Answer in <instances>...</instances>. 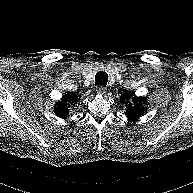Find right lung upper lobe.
Here are the masks:
<instances>
[{
    "label": "right lung upper lobe",
    "instance_id": "obj_1",
    "mask_svg": "<svg viewBox=\"0 0 193 193\" xmlns=\"http://www.w3.org/2000/svg\"><path fill=\"white\" fill-rule=\"evenodd\" d=\"M78 100V96L75 93H67L63 96L61 101L57 102L54 106V112L61 118H66L68 113L69 105H72Z\"/></svg>",
    "mask_w": 193,
    "mask_h": 193
}]
</instances>
